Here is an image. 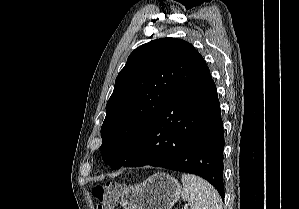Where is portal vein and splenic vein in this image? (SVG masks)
Listing matches in <instances>:
<instances>
[{
	"label": "portal vein and splenic vein",
	"instance_id": "18ae733b",
	"mask_svg": "<svg viewBox=\"0 0 299 209\" xmlns=\"http://www.w3.org/2000/svg\"><path fill=\"white\" fill-rule=\"evenodd\" d=\"M183 209H188V206H187V205H185V206L183 207Z\"/></svg>",
	"mask_w": 299,
	"mask_h": 209
}]
</instances>
